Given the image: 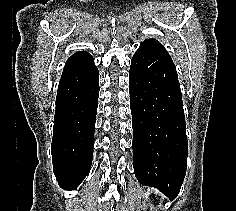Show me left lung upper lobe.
<instances>
[{
	"instance_id": "1",
	"label": "left lung upper lobe",
	"mask_w": 236,
	"mask_h": 211,
	"mask_svg": "<svg viewBox=\"0 0 236 211\" xmlns=\"http://www.w3.org/2000/svg\"><path fill=\"white\" fill-rule=\"evenodd\" d=\"M141 46L154 47V48H157V49L162 50V51L167 53L165 48L158 41H156L154 39L145 40L143 43H141Z\"/></svg>"
}]
</instances>
